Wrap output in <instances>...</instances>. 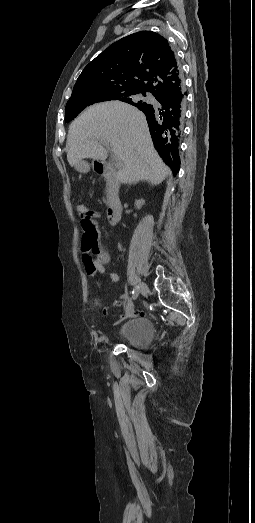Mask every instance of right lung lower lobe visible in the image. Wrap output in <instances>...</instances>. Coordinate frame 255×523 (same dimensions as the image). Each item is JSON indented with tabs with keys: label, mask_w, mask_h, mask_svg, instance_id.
<instances>
[{
	"label": "right lung lower lobe",
	"mask_w": 255,
	"mask_h": 523,
	"mask_svg": "<svg viewBox=\"0 0 255 523\" xmlns=\"http://www.w3.org/2000/svg\"><path fill=\"white\" fill-rule=\"evenodd\" d=\"M180 105V100L178 98H173L172 100H167L165 103H160L156 107L154 112V117L158 120H163L166 117L169 119L166 123H161L159 125V130L162 132L160 134V139L164 142H169L173 136L174 129L176 127V121L173 119L175 117L174 107ZM180 166L177 169L179 171Z\"/></svg>",
	"instance_id": "right-lung-lower-lobe-1"
}]
</instances>
